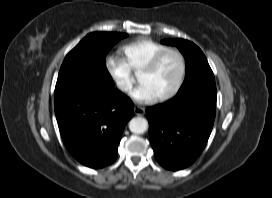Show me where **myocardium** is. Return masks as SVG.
Masks as SVG:
<instances>
[{
	"mask_svg": "<svg viewBox=\"0 0 272 198\" xmlns=\"http://www.w3.org/2000/svg\"><path fill=\"white\" fill-rule=\"evenodd\" d=\"M170 53H174L179 57L180 65H181L180 66V73H179V77H178L177 82L174 85V87L168 93L155 98V100L158 102H164V101H168V100L172 99L181 90V88L184 84V81H185L186 71H187L186 58H185L184 54L177 48H166V49L158 52L157 54H155L151 58V60L142 68V70L139 73V76L142 74L151 73L152 71H154L158 67V65L163 60V58Z\"/></svg>",
	"mask_w": 272,
	"mask_h": 198,
	"instance_id": "myocardium-1",
	"label": "myocardium"
}]
</instances>
